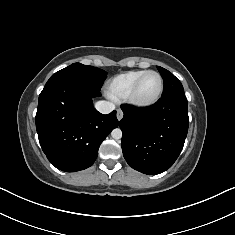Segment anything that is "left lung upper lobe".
<instances>
[{
    "mask_svg": "<svg viewBox=\"0 0 235 235\" xmlns=\"http://www.w3.org/2000/svg\"><path fill=\"white\" fill-rule=\"evenodd\" d=\"M157 68L164 80L162 96L175 93H184L182 84L171 72L159 66Z\"/></svg>",
    "mask_w": 235,
    "mask_h": 235,
    "instance_id": "1",
    "label": "left lung upper lobe"
}]
</instances>
